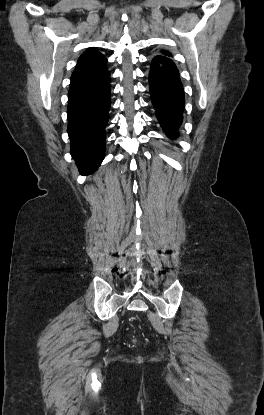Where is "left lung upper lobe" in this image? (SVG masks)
I'll use <instances>...</instances> for the list:
<instances>
[{
  "label": "left lung upper lobe",
  "instance_id": "left-lung-upper-lobe-1",
  "mask_svg": "<svg viewBox=\"0 0 264 415\" xmlns=\"http://www.w3.org/2000/svg\"><path fill=\"white\" fill-rule=\"evenodd\" d=\"M164 54L171 56V54L169 52H163Z\"/></svg>",
  "mask_w": 264,
  "mask_h": 415
}]
</instances>
